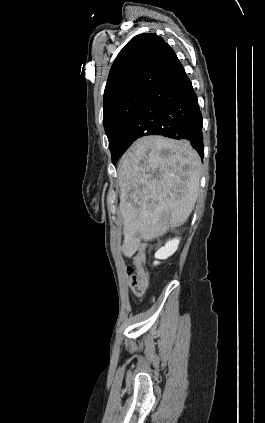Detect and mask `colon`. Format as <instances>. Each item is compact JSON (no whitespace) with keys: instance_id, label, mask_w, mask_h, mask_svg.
<instances>
[{"instance_id":"obj_1","label":"colon","mask_w":265,"mask_h":423,"mask_svg":"<svg viewBox=\"0 0 265 423\" xmlns=\"http://www.w3.org/2000/svg\"><path fill=\"white\" fill-rule=\"evenodd\" d=\"M132 292L137 296H142L148 286V277L145 273L141 261L129 264L126 268Z\"/></svg>"}]
</instances>
